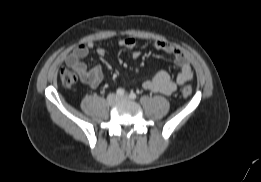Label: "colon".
Listing matches in <instances>:
<instances>
[{"label": "colon", "instance_id": "colon-1", "mask_svg": "<svg viewBox=\"0 0 261 182\" xmlns=\"http://www.w3.org/2000/svg\"><path fill=\"white\" fill-rule=\"evenodd\" d=\"M60 80L64 87L71 88L77 83L78 76L75 72L64 68L60 71ZM191 93H192L191 86L185 85L182 89L183 96L188 97L191 95Z\"/></svg>", "mask_w": 261, "mask_h": 182}]
</instances>
